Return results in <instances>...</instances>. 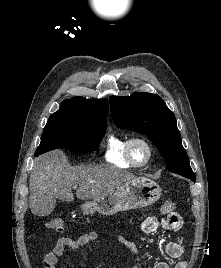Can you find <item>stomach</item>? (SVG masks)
I'll list each match as a JSON object with an SVG mask.
<instances>
[{
	"label": "stomach",
	"instance_id": "0dacf381",
	"mask_svg": "<svg viewBox=\"0 0 221 268\" xmlns=\"http://www.w3.org/2000/svg\"><path fill=\"white\" fill-rule=\"evenodd\" d=\"M161 194L162 189L157 183L138 177L102 197L84 203L81 209L86 215H93L95 212L113 215L119 211L151 205L160 198Z\"/></svg>",
	"mask_w": 221,
	"mask_h": 268
}]
</instances>
